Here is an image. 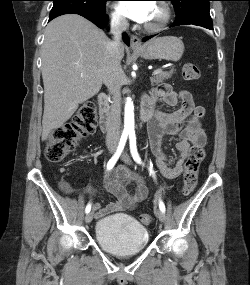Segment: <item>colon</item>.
Here are the masks:
<instances>
[{
	"instance_id": "5ec220e1",
	"label": "colon",
	"mask_w": 250,
	"mask_h": 285,
	"mask_svg": "<svg viewBox=\"0 0 250 285\" xmlns=\"http://www.w3.org/2000/svg\"><path fill=\"white\" fill-rule=\"evenodd\" d=\"M182 76L187 81L200 78V70L193 63H186L182 68ZM96 126V107L94 102L83 103L73 119L58 127L49 137L45 155L51 162H59L69 155L76 147L77 143L86 136L93 133ZM205 157L203 146L194 145L189 151V155L184 166L182 192L189 195L197 185L200 165ZM139 220L144 225H150L153 221L149 214H141Z\"/></svg>"
}]
</instances>
